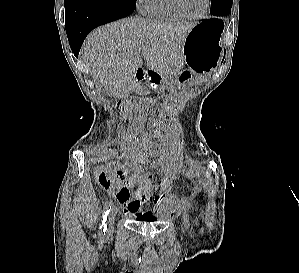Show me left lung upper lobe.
<instances>
[{"label":"left lung upper lobe","instance_id":"5c2ea615","mask_svg":"<svg viewBox=\"0 0 299 273\" xmlns=\"http://www.w3.org/2000/svg\"><path fill=\"white\" fill-rule=\"evenodd\" d=\"M233 0H211L210 13L215 16L227 15L231 11Z\"/></svg>","mask_w":299,"mask_h":273}]
</instances>
